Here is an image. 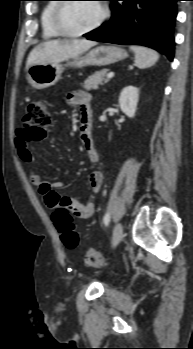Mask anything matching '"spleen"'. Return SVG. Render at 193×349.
<instances>
[{"label": "spleen", "instance_id": "3e777b00", "mask_svg": "<svg viewBox=\"0 0 193 349\" xmlns=\"http://www.w3.org/2000/svg\"><path fill=\"white\" fill-rule=\"evenodd\" d=\"M130 49L135 54V66L140 69L153 66L159 59V54L152 49L142 46H131Z\"/></svg>", "mask_w": 193, "mask_h": 349}]
</instances>
